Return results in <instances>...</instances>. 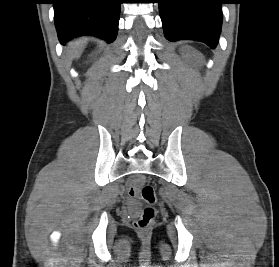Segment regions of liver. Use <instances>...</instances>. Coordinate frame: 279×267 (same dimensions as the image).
Returning <instances> with one entry per match:
<instances>
[{"label":"liver","instance_id":"6515ba94","mask_svg":"<svg viewBox=\"0 0 279 267\" xmlns=\"http://www.w3.org/2000/svg\"><path fill=\"white\" fill-rule=\"evenodd\" d=\"M87 39L81 38L69 44L68 54L72 58H79L82 54L85 46H86Z\"/></svg>","mask_w":279,"mask_h":267}]
</instances>
